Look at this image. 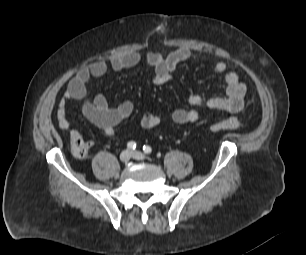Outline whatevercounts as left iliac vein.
Masks as SVG:
<instances>
[{"instance_id":"left-iliac-vein-1","label":"left iliac vein","mask_w":306,"mask_h":255,"mask_svg":"<svg viewBox=\"0 0 306 255\" xmlns=\"http://www.w3.org/2000/svg\"><path fill=\"white\" fill-rule=\"evenodd\" d=\"M131 157L136 160H145V155L140 151H132Z\"/></svg>"}]
</instances>
